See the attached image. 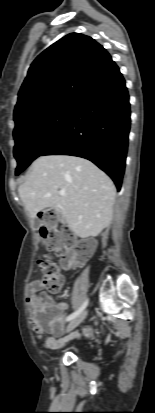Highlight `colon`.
Segmentation results:
<instances>
[{
  "label": "colon",
  "mask_w": 155,
  "mask_h": 413,
  "mask_svg": "<svg viewBox=\"0 0 155 413\" xmlns=\"http://www.w3.org/2000/svg\"><path fill=\"white\" fill-rule=\"evenodd\" d=\"M42 226L40 235L42 244L52 253L40 262L43 272V284L52 293H57L63 285V276L59 266L53 261V256L62 254L63 265L72 261H84L90 254V247L86 242L76 241L74 235L65 227L59 228L58 214L53 209H38ZM52 310L41 315L42 321L52 316Z\"/></svg>",
  "instance_id": "obj_1"
}]
</instances>
